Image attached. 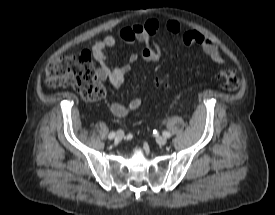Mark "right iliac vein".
Masks as SVG:
<instances>
[{
	"label": "right iliac vein",
	"instance_id": "obj_1",
	"mask_svg": "<svg viewBox=\"0 0 275 215\" xmlns=\"http://www.w3.org/2000/svg\"><path fill=\"white\" fill-rule=\"evenodd\" d=\"M123 137H124V132L122 130L117 131L115 139L117 141H120V140H122Z\"/></svg>",
	"mask_w": 275,
	"mask_h": 215
}]
</instances>
